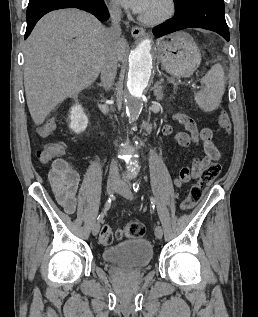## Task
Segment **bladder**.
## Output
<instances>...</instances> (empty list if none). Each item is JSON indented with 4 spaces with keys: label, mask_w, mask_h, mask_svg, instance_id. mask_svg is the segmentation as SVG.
I'll list each match as a JSON object with an SVG mask.
<instances>
[{
    "label": "bladder",
    "mask_w": 258,
    "mask_h": 317,
    "mask_svg": "<svg viewBox=\"0 0 258 317\" xmlns=\"http://www.w3.org/2000/svg\"><path fill=\"white\" fill-rule=\"evenodd\" d=\"M153 256V249L145 239H133L106 248L103 260L132 268H141L149 264Z\"/></svg>",
    "instance_id": "1"
}]
</instances>
